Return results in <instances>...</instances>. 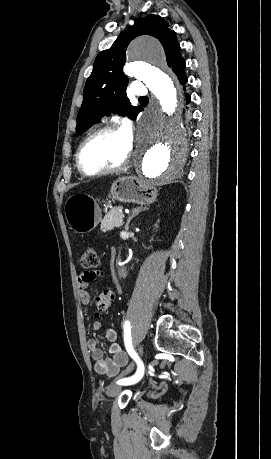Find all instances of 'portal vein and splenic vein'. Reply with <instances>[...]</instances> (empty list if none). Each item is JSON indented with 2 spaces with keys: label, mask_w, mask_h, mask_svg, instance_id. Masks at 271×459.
Returning <instances> with one entry per match:
<instances>
[{
  "label": "portal vein and splenic vein",
  "mask_w": 271,
  "mask_h": 459,
  "mask_svg": "<svg viewBox=\"0 0 271 459\" xmlns=\"http://www.w3.org/2000/svg\"><path fill=\"white\" fill-rule=\"evenodd\" d=\"M121 219H125V214H120Z\"/></svg>",
  "instance_id": "18ae733b"
}]
</instances>
